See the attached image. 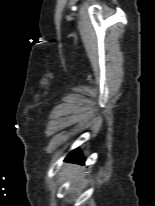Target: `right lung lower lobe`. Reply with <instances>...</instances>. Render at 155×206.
<instances>
[{"instance_id": "right-lung-lower-lobe-1", "label": "right lung lower lobe", "mask_w": 155, "mask_h": 206, "mask_svg": "<svg viewBox=\"0 0 155 206\" xmlns=\"http://www.w3.org/2000/svg\"><path fill=\"white\" fill-rule=\"evenodd\" d=\"M67 160H73L75 162H79L81 164L84 163V159L82 158L80 151L78 149L73 150L72 152H70L67 156Z\"/></svg>"}]
</instances>
